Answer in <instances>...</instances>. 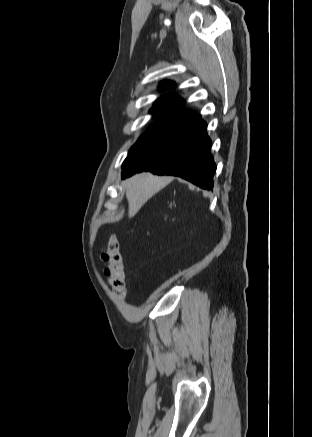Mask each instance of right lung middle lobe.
Returning <instances> with one entry per match:
<instances>
[{"mask_svg":"<svg viewBox=\"0 0 312 437\" xmlns=\"http://www.w3.org/2000/svg\"><path fill=\"white\" fill-rule=\"evenodd\" d=\"M153 115L161 113L160 118L146 133L141 135L131 147L129 154L144 152L161 147L186 132L200 118L194 112L168 107H153Z\"/></svg>","mask_w":312,"mask_h":437,"instance_id":"obj_1","label":"right lung middle lobe"}]
</instances>
